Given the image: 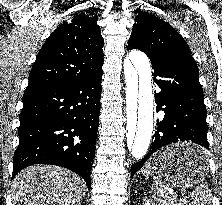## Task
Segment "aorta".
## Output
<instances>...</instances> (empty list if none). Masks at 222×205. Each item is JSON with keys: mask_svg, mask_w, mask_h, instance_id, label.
Listing matches in <instances>:
<instances>
[{"mask_svg": "<svg viewBox=\"0 0 222 205\" xmlns=\"http://www.w3.org/2000/svg\"><path fill=\"white\" fill-rule=\"evenodd\" d=\"M126 78L127 130L125 151L134 160L142 159L153 133V93L148 57L132 50L124 61Z\"/></svg>", "mask_w": 222, "mask_h": 205, "instance_id": "aorta-1", "label": "aorta"}]
</instances>
